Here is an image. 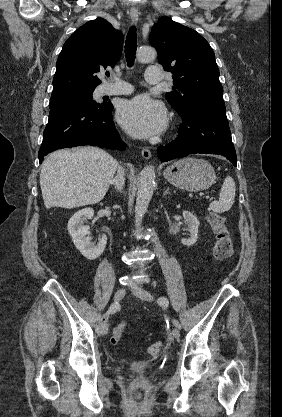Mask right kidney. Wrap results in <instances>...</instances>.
Here are the masks:
<instances>
[{
    "label": "right kidney",
    "mask_w": 282,
    "mask_h": 417,
    "mask_svg": "<svg viewBox=\"0 0 282 417\" xmlns=\"http://www.w3.org/2000/svg\"><path fill=\"white\" fill-rule=\"evenodd\" d=\"M94 211L93 209H81V211H77L74 213L73 217L68 221V233L70 237H72V241L80 251L83 257L89 259V261H94V259H98L100 255H102L106 245H107V237L106 235H102L101 239H99V243L94 245V243H90L91 237H86L89 235V225H84L87 219H91L93 217Z\"/></svg>",
    "instance_id": "right-kidney-1"
}]
</instances>
